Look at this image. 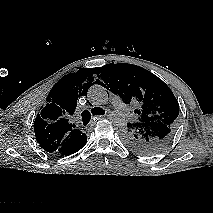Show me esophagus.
<instances>
[{"mask_svg": "<svg viewBox=\"0 0 213 213\" xmlns=\"http://www.w3.org/2000/svg\"><path fill=\"white\" fill-rule=\"evenodd\" d=\"M105 115H99V116H96L94 118V121H92L88 126H87V129L90 130L93 128L94 124H95V120H99V119H102Z\"/></svg>", "mask_w": 213, "mask_h": 213, "instance_id": "34e87169", "label": "esophagus"}]
</instances>
